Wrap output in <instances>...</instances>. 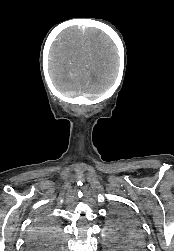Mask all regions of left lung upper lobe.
Listing matches in <instances>:
<instances>
[{
  "instance_id": "left-lung-upper-lobe-1",
  "label": "left lung upper lobe",
  "mask_w": 174,
  "mask_h": 251,
  "mask_svg": "<svg viewBox=\"0 0 174 251\" xmlns=\"http://www.w3.org/2000/svg\"><path fill=\"white\" fill-rule=\"evenodd\" d=\"M110 233V239L116 244L119 241H124L137 249L144 246L141 227L125 209L118 208L112 212Z\"/></svg>"
}]
</instances>
